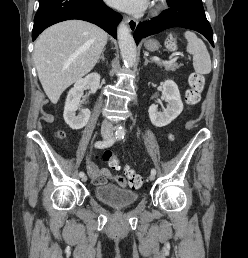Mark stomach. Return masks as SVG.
<instances>
[{"instance_id": "1", "label": "stomach", "mask_w": 248, "mask_h": 258, "mask_svg": "<svg viewBox=\"0 0 248 258\" xmlns=\"http://www.w3.org/2000/svg\"><path fill=\"white\" fill-rule=\"evenodd\" d=\"M160 47V44L157 40H154V39H150L148 41L145 42V48L148 50V51H157Z\"/></svg>"}]
</instances>
